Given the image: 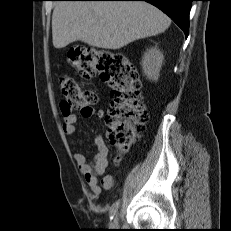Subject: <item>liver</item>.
<instances>
[{"mask_svg":"<svg viewBox=\"0 0 231 231\" xmlns=\"http://www.w3.org/2000/svg\"><path fill=\"white\" fill-rule=\"evenodd\" d=\"M170 18L140 1H60L52 14V38L60 49L80 40L103 49H120L129 43L163 33Z\"/></svg>","mask_w":231,"mask_h":231,"instance_id":"liver-1","label":"liver"}]
</instances>
